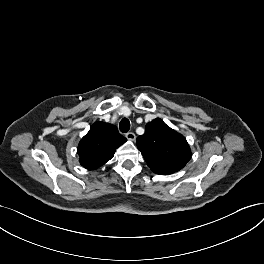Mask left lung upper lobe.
<instances>
[{
    "label": "left lung upper lobe",
    "instance_id": "left-lung-upper-lobe-1",
    "mask_svg": "<svg viewBox=\"0 0 264 264\" xmlns=\"http://www.w3.org/2000/svg\"><path fill=\"white\" fill-rule=\"evenodd\" d=\"M137 147L157 174L177 172L191 158L189 144L183 135L159 118L147 123L145 133L137 138Z\"/></svg>",
    "mask_w": 264,
    "mask_h": 264
}]
</instances>
